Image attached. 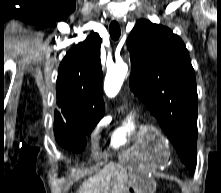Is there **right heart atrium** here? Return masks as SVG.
Returning a JSON list of instances; mask_svg holds the SVG:
<instances>
[{"instance_id":"obj_1","label":"right heart atrium","mask_w":221,"mask_h":193,"mask_svg":"<svg viewBox=\"0 0 221 193\" xmlns=\"http://www.w3.org/2000/svg\"><path fill=\"white\" fill-rule=\"evenodd\" d=\"M107 124V119L104 118L100 121V123L98 124L96 130H95V133H97L99 131L100 128H102L103 126H105Z\"/></svg>"}]
</instances>
